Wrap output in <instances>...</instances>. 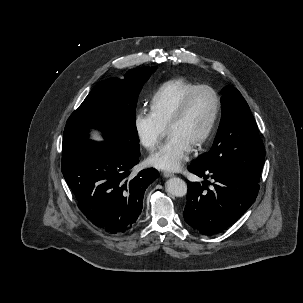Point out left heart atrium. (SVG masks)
Masks as SVG:
<instances>
[{"label": "left heart atrium", "mask_w": 303, "mask_h": 303, "mask_svg": "<svg viewBox=\"0 0 303 303\" xmlns=\"http://www.w3.org/2000/svg\"><path fill=\"white\" fill-rule=\"evenodd\" d=\"M192 145L177 133H171L166 142L154 152L149 163L157 169L176 171L188 159Z\"/></svg>", "instance_id": "39dd6f15"}]
</instances>
